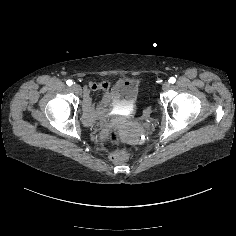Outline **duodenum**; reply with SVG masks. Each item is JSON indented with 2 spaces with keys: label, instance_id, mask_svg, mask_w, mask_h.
Instances as JSON below:
<instances>
[{
  "label": "duodenum",
  "instance_id": "410a0bca",
  "mask_svg": "<svg viewBox=\"0 0 236 236\" xmlns=\"http://www.w3.org/2000/svg\"><path fill=\"white\" fill-rule=\"evenodd\" d=\"M109 102V95L105 94L104 96V104L107 105ZM106 105L99 107L98 109H95L91 97L88 93L84 96V117L85 120L89 123H92L99 119L101 116H103L107 112Z\"/></svg>",
  "mask_w": 236,
  "mask_h": 236
}]
</instances>
